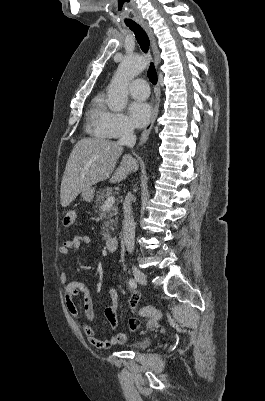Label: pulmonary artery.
<instances>
[{"instance_id": "e3ab8cb5", "label": "pulmonary artery", "mask_w": 265, "mask_h": 401, "mask_svg": "<svg viewBox=\"0 0 265 401\" xmlns=\"http://www.w3.org/2000/svg\"><path fill=\"white\" fill-rule=\"evenodd\" d=\"M141 71V69H138L135 76H139ZM128 88L131 89L130 93L133 101H144L149 96L148 83L144 78H135L128 83Z\"/></svg>"}]
</instances>
